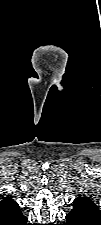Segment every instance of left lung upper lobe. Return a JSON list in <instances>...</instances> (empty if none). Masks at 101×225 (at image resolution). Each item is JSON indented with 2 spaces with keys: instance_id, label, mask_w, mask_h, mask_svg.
<instances>
[{
  "instance_id": "1",
  "label": "left lung upper lobe",
  "mask_w": 101,
  "mask_h": 225,
  "mask_svg": "<svg viewBox=\"0 0 101 225\" xmlns=\"http://www.w3.org/2000/svg\"><path fill=\"white\" fill-rule=\"evenodd\" d=\"M73 207H79L87 210H91L100 213L99 208L88 197H79L73 203Z\"/></svg>"
}]
</instances>
